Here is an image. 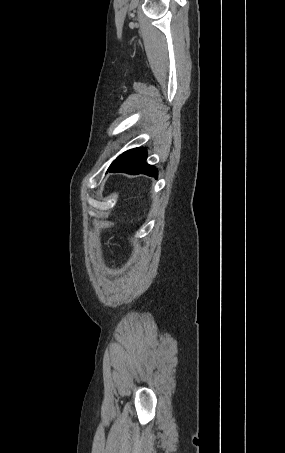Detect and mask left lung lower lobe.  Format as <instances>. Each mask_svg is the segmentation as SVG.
I'll return each mask as SVG.
<instances>
[{
    "label": "left lung lower lobe",
    "instance_id": "0a47b994",
    "mask_svg": "<svg viewBox=\"0 0 285 453\" xmlns=\"http://www.w3.org/2000/svg\"><path fill=\"white\" fill-rule=\"evenodd\" d=\"M146 150L135 148L118 156L110 165L109 172H125L129 174H145L157 178L158 172L154 166L146 163Z\"/></svg>",
    "mask_w": 285,
    "mask_h": 453
}]
</instances>
